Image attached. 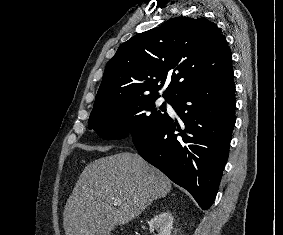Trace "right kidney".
Masks as SVG:
<instances>
[{
	"mask_svg": "<svg viewBox=\"0 0 283 235\" xmlns=\"http://www.w3.org/2000/svg\"><path fill=\"white\" fill-rule=\"evenodd\" d=\"M150 232L155 235H170L173 228V217L169 212H162L154 216L149 222Z\"/></svg>",
	"mask_w": 283,
	"mask_h": 235,
	"instance_id": "ca27d5eb",
	"label": "right kidney"
}]
</instances>
